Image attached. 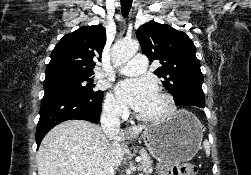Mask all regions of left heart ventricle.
<instances>
[{
    "label": "left heart ventricle",
    "instance_id": "left-heart-ventricle-1",
    "mask_svg": "<svg viewBox=\"0 0 251 175\" xmlns=\"http://www.w3.org/2000/svg\"><path fill=\"white\" fill-rule=\"evenodd\" d=\"M165 109L164 102L162 101L161 97L158 96L154 105L145 113L146 115H155L161 113Z\"/></svg>",
    "mask_w": 251,
    "mask_h": 175
}]
</instances>
